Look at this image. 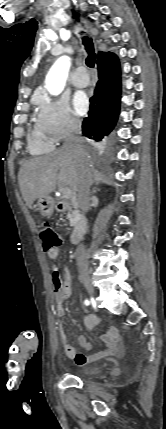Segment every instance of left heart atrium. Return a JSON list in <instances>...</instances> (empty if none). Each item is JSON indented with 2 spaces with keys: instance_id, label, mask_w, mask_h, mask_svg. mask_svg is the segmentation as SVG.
Listing matches in <instances>:
<instances>
[{
  "instance_id": "1",
  "label": "left heart atrium",
  "mask_w": 166,
  "mask_h": 429,
  "mask_svg": "<svg viewBox=\"0 0 166 429\" xmlns=\"http://www.w3.org/2000/svg\"><path fill=\"white\" fill-rule=\"evenodd\" d=\"M74 110L78 115H84L89 108V101L83 92H78L73 98Z\"/></svg>"
}]
</instances>
